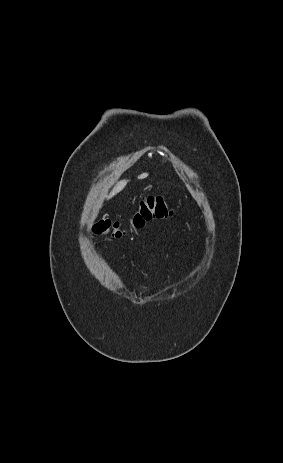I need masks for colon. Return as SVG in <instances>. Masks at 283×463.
Listing matches in <instances>:
<instances>
[{"instance_id":"1","label":"colon","mask_w":283,"mask_h":463,"mask_svg":"<svg viewBox=\"0 0 283 463\" xmlns=\"http://www.w3.org/2000/svg\"><path fill=\"white\" fill-rule=\"evenodd\" d=\"M172 215L161 197H148L142 200L135 210L131 222L133 227L141 228L146 222L153 219H164ZM94 231L99 234H109L114 238H120L125 235L126 230L120 222L111 221L108 218H101L94 225Z\"/></svg>"}]
</instances>
